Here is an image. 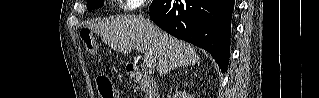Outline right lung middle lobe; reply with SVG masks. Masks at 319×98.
Here are the masks:
<instances>
[{"label":"right lung middle lobe","instance_id":"obj_1","mask_svg":"<svg viewBox=\"0 0 319 98\" xmlns=\"http://www.w3.org/2000/svg\"><path fill=\"white\" fill-rule=\"evenodd\" d=\"M104 5V0H88L87 8L89 10H93Z\"/></svg>","mask_w":319,"mask_h":98}]
</instances>
